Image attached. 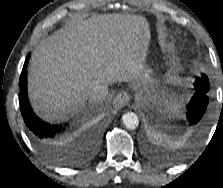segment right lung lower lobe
Returning <instances> with one entry per match:
<instances>
[{
    "label": "right lung lower lobe",
    "mask_w": 223,
    "mask_h": 188,
    "mask_svg": "<svg viewBox=\"0 0 223 188\" xmlns=\"http://www.w3.org/2000/svg\"><path fill=\"white\" fill-rule=\"evenodd\" d=\"M30 54L27 55L20 76L19 102L21 113L27 127V131L34 143L55 163L61 166H76L83 163L88 154H67L62 146L68 142L67 138L61 137V127L50 125L39 119L33 112L27 97V64ZM99 137L96 133L88 135L89 151L98 147Z\"/></svg>",
    "instance_id": "1"
}]
</instances>
